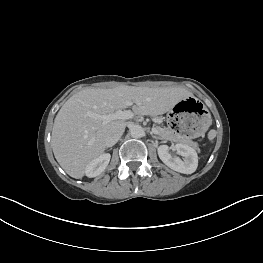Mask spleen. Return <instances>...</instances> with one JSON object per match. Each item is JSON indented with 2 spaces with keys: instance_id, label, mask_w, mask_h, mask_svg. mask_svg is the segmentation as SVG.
Segmentation results:
<instances>
[{
  "instance_id": "3e777b00",
  "label": "spleen",
  "mask_w": 263,
  "mask_h": 263,
  "mask_svg": "<svg viewBox=\"0 0 263 263\" xmlns=\"http://www.w3.org/2000/svg\"><path fill=\"white\" fill-rule=\"evenodd\" d=\"M215 136H216L215 130H211V131L209 132V135H208L209 139H210V140H213V139L215 138Z\"/></svg>"
}]
</instances>
